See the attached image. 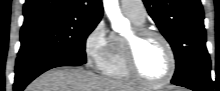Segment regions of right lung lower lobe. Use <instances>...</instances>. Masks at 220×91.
<instances>
[{
  "label": "right lung lower lobe",
  "mask_w": 220,
  "mask_h": 91,
  "mask_svg": "<svg viewBox=\"0 0 220 91\" xmlns=\"http://www.w3.org/2000/svg\"><path fill=\"white\" fill-rule=\"evenodd\" d=\"M85 62L66 53L44 51L18 56L15 67L14 91H22L43 72L59 66H80Z\"/></svg>",
  "instance_id": "1"
}]
</instances>
